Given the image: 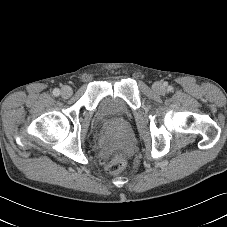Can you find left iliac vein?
Segmentation results:
<instances>
[{"label":"left iliac vein","instance_id":"left-iliac-vein-1","mask_svg":"<svg viewBox=\"0 0 227 227\" xmlns=\"http://www.w3.org/2000/svg\"><path fill=\"white\" fill-rule=\"evenodd\" d=\"M153 90L156 92V93H163L164 92V87L162 86L161 83L159 82H156L154 83L153 85Z\"/></svg>","mask_w":227,"mask_h":227}]
</instances>
